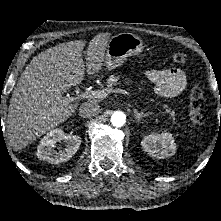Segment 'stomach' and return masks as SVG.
<instances>
[{
    "label": "stomach",
    "instance_id": "0dacf381",
    "mask_svg": "<svg viewBox=\"0 0 221 221\" xmlns=\"http://www.w3.org/2000/svg\"><path fill=\"white\" fill-rule=\"evenodd\" d=\"M141 38L132 33H119L112 36L107 44L104 65L108 69L121 66L127 57L142 52Z\"/></svg>",
    "mask_w": 221,
    "mask_h": 221
}]
</instances>
